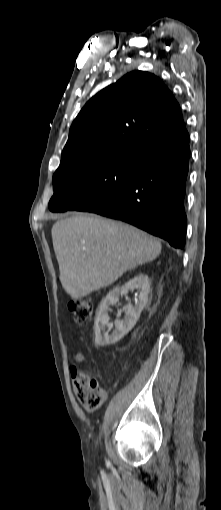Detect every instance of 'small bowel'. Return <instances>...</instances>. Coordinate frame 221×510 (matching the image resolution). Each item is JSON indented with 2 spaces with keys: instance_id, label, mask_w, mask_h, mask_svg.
I'll list each match as a JSON object with an SVG mask.
<instances>
[{
  "instance_id": "1",
  "label": "small bowel",
  "mask_w": 221,
  "mask_h": 510,
  "mask_svg": "<svg viewBox=\"0 0 221 510\" xmlns=\"http://www.w3.org/2000/svg\"><path fill=\"white\" fill-rule=\"evenodd\" d=\"M74 358H75L76 364H73L70 366V374H71L75 393H76L77 397L79 398L80 394H81V386H80V384L78 382V378H77L78 373L80 372L78 364H81L84 361V355L82 352L78 351L75 354Z\"/></svg>"
}]
</instances>
